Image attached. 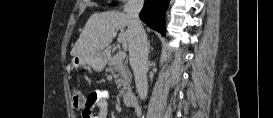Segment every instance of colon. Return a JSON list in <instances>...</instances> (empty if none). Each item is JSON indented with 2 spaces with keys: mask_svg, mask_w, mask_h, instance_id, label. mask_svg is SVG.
I'll return each mask as SVG.
<instances>
[{
  "mask_svg": "<svg viewBox=\"0 0 273 118\" xmlns=\"http://www.w3.org/2000/svg\"><path fill=\"white\" fill-rule=\"evenodd\" d=\"M88 101L85 96L79 92L75 91L73 94V106L75 109H81L82 111L87 108Z\"/></svg>",
  "mask_w": 273,
  "mask_h": 118,
  "instance_id": "1",
  "label": "colon"
}]
</instances>
